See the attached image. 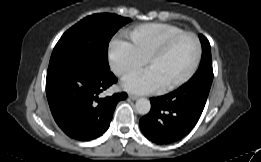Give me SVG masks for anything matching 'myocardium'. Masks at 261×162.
<instances>
[{
    "instance_id": "myocardium-1",
    "label": "myocardium",
    "mask_w": 261,
    "mask_h": 162,
    "mask_svg": "<svg viewBox=\"0 0 261 162\" xmlns=\"http://www.w3.org/2000/svg\"><path fill=\"white\" fill-rule=\"evenodd\" d=\"M184 36H190L195 41L196 55H195L194 62L191 68L189 69V71L183 77H181L180 79H178L177 81L169 85L163 86L162 87L163 91H172L182 86L184 83L190 80L193 77V75L196 73L202 57V46L199 37L193 32L183 31L181 33H178L166 39L161 45H159L156 49H154L146 58L145 64L146 66H148V64L152 60L164 55L177 40H179Z\"/></svg>"
}]
</instances>
